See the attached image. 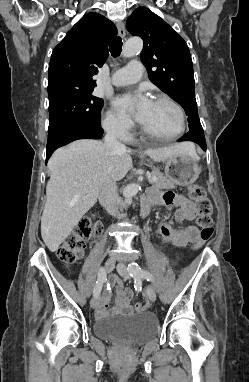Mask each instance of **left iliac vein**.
Instances as JSON below:
<instances>
[{
  "instance_id": "obj_1",
  "label": "left iliac vein",
  "mask_w": 249,
  "mask_h": 382,
  "mask_svg": "<svg viewBox=\"0 0 249 382\" xmlns=\"http://www.w3.org/2000/svg\"><path fill=\"white\" fill-rule=\"evenodd\" d=\"M117 271L118 273L125 279H129L130 276H129V273H128V270H127V267L124 263H119L117 265ZM146 294H147V297L148 299L151 301V302H155L156 300V291H155V288L151 285L147 286L146 288Z\"/></svg>"
}]
</instances>
